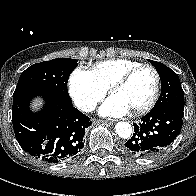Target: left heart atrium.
Returning a JSON list of instances; mask_svg holds the SVG:
<instances>
[{
	"label": "left heart atrium",
	"instance_id": "left-heart-atrium-1",
	"mask_svg": "<svg viewBox=\"0 0 196 196\" xmlns=\"http://www.w3.org/2000/svg\"><path fill=\"white\" fill-rule=\"evenodd\" d=\"M129 108L114 96L109 97L101 106L99 112L103 116L119 117L126 115Z\"/></svg>",
	"mask_w": 196,
	"mask_h": 196
}]
</instances>
